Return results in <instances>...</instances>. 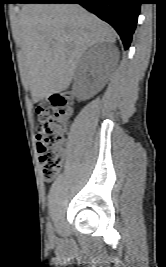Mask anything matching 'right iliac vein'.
<instances>
[{
	"mask_svg": "<svg viewBox=\"0 0 166 267\" xmlns=\"http://www.w3.org/2000/svg\"><path fill=\"white\" fill-rule=\"evenodd\" d=\"M50 240H54V236L52 235V236H50Z\"/></svg>",
	"mask_w": 166,
	"mask_h": 267,
	"instance_id": "right-iliac-vein-1",
	"label": "right iliac vein"
}]
</instances>
